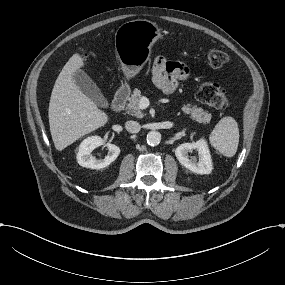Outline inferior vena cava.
<instances>
[{"label": "inferior vena cava", "instance_id": "inferior-vena-cava-1", "mask_svg": "<svg viewBox=\"0 0 285 285\" xmlns=\"http://www.w3.org/2000/svg\"><path fill=\"white\" fill-rule=\"evenodd\" d=\"M125 128L131 133H136L140 131L141 126L137 121L129 120L125 122Z\"/></svg>", "mask_w": 285, "mask_h": 285}]
</instances>
